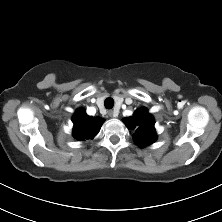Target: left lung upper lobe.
I'll list each match as a JSON object with an SVG mask.
<instances>
[{
  "mask_svg": "<svg viewBox=\"0 0 222 222\" xmlns=\"http://www.w3.org/2000/svg\"><path fill=\"white\" fill-rule=\"evenodd\" d=\"M128 129H135L134 141L141 147L152 144L156 140L154 118L146 108L136 110L131 117L123 119Z\"/></svg>",
  "mask_w": 222,
  "mask_h": 222,
  "instance_id": "1",
  "label": "left lung upper lobe"
}]
</instances>
